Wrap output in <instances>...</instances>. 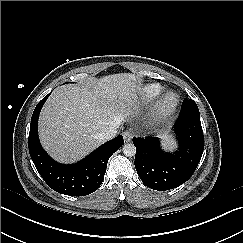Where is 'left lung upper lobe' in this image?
<instances>
[{
	"instance_id": "left-lung-upper-lobe-1",
	"label": "left lung upper lobe",
	"mask_w": 243,
	"mask_h": 243,
	"mask_svg": "<svg viewBox=\"0 0 243 243\" xmlns=\"http://www.w3.org/2000/svg\"><path fill=\"white\" fill-rule=\"evenodd\" d=\"M183 104H185V105H191V106H196V103L192 99H186V100H184Z\"/></svg>"
}]
</instances>
